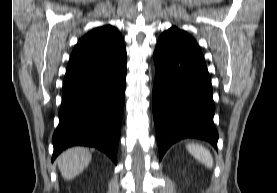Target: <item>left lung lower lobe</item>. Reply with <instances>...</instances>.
<instances>
[{"label":"left lung lower lobe","instance_id":"1","mask_svg":"<svg viewBox=\"0 0 277 193\" xmlns=\"http://www.w3.org/2000/svg\"><path fill=\"white\" fill-rule=\"evenodd\" d=\"M152 92L159 159L183 138H198L217 148L211 79L200 50L160 37L154 51Z\"/></svg>","mask_w":277,"mask_h":193}]
</instances>
